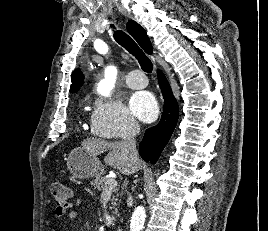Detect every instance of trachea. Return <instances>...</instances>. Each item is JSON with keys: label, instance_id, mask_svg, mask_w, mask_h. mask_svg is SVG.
<instances>
[{"label": "trachea", "instance_id": "1", "mask_svg": "<svg viewBox=\"0 0 268 231\" xmlns=\"http://www.w3.org/2000/svg\"><path fill=\"white\" fill-rule=\"evenodd\" d=\"M114 28L113 25H111ZM114 39L124 47L129 53H131L138 60L143 71L151 73L153 70V64L151 60L142 52L137 43L122 30H116L113 34Z\"/></svg>", "mask_w": 268, "mask_h": 231}]
</instances>
